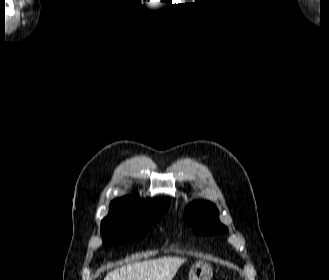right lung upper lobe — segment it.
<instances>
[{"label":"right lung upper lobe","instance_id":"1","mask_svg":"<svg viewBox=\"0 0 329 280\" xmlns=\"http://www.w3.org/2000/svg\"><path fill=\"white\" fill-rule=\"evenodd\" d=\"M169 199H165L164 201H157L155 204L152 203L150 200L142 201L135 197L127 196L123 198L115 199L111 202L110 205H118L124 207H130L132 209L141 211V212H152L158 208H164L169 206Z\"/></svg>","mask_w":329,"mask_h":280}]
</instances>
